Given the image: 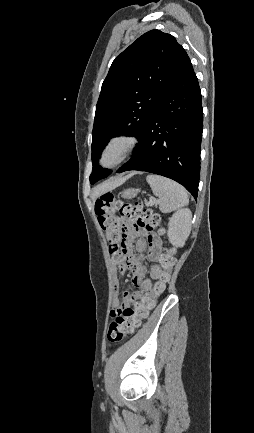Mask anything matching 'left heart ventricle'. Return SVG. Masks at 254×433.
<instances>
[{
  "label": "left heart ventricle",
  "instance_id": "left-heart-ventricle-1",
  "mask_svg": "<svg viewBox=\"0 0 254 433\" xmlns=\"http://www.w3.org/2000/svg\"><path fill=\"white\" fill-rule=\"evenodd\" d=\"M122 150L121 144L112 146L105 154L103 162L106 165L114 163L120 156Z\"/></svg>",
  "mask_w": 254,
  "mask_h": 433
}]
</instances>
